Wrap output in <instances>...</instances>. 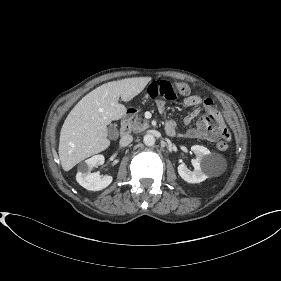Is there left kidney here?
Wrapping results in <instances>:
<instances>
[{
	"instance_id": "obj_1",
	"label": "left kidney",
	"mask_w": 281,
	"mask_h": 281,
	"mask_svg": "<svg viewBox=\"0 0 281 281\" xmlns=\"http://www.w3.org/2000/svg\"><path fill=\"white\" fill-rule=\"evenodd\" d=\"M191 150L196 155V158L191 161L194 170L191 171L185 164H180L178 166V173L188 183H200L208 178L211 166V153L206 147L200 145H193Z\"/></svg>"
}]
</instances>
